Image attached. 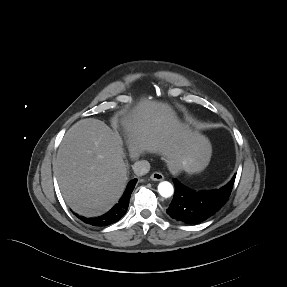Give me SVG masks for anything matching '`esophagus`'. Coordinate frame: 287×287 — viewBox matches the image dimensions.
<instances>
[{"label":"esophagus","mask_w":287,"mask_h":287,"mask_svg":"<svg viewBox=\"0 0 287 287\" xmlns=\"http://www.w3.org/2000/svg\"><path fill=\"white\" fill-rule=\"evenodd\" d=\"M150 178L153 180V181H161L164 179V176L162 173L160 172H154L151 174Z\"/></svg>","instance_id":"34e87169"}]
</instances>
